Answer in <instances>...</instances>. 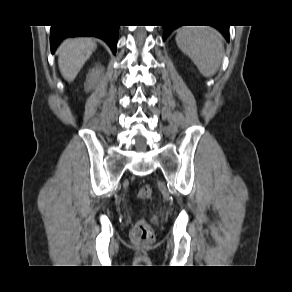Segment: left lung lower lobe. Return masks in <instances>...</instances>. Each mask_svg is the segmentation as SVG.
Segmentation results:
<instances>
[{"mask_svg":"<svg viewBox=\"0 0 292 292\" xmlns=\"http://www.w3.org/2000/svg\"><path fill=\"white\" fill-rule=\"evenodd\" d=\"M179 26H163L164 28V34H163V40H165L169 34L176 29ZM216 27L226 38V40H229V26H214Z\"/></svg>","mask_w":292,"mask_h":292,"instance_id":"obj_1","label":"left lung lower lobe"}]
</instances>
